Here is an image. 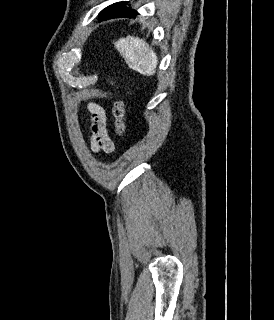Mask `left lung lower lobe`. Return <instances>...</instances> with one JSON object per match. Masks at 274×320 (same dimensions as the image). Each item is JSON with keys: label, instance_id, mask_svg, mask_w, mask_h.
I'll use <instances>...</instances> for the list:
<instances>
[{"label": "left lung lower lobe", "instance_id": "obj_1", "mask_svg": "<svg viewBox=\"0 0 274 320\" xmlns=\"http://www.w3.org/2000/svg\"><path fill=\"white\" fill-rule=\"evenodd\" d=\"M137 11L133 9H126L122 12H115V13H110V14H104L99 17V20H106L110 18H118V17H126V18H134L137 15Z\"/></svg>", "mask_w": 274, "mask_h": 320}]
</instances>
